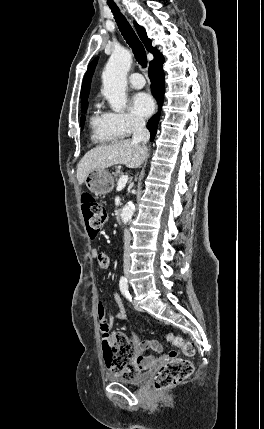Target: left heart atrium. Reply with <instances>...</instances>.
<instances>
[{
	"label": "left heart atrium",
	"mask_w": 264,
	"mask_h": 429,
	"mask_svg": "<svg viewBox=\"0 0 264 429\" xmlns=\"http://www.w3.org/2000/svg\"><path fill=\"white\" fill-rule=\"evenodd\" d=\"M131 110L139 118L148 117L154 110L151 96L145 92L136 93L131 100Z\"/></svg>",
	"instance_id": "left-heart-atrium-1"
}]
</instances>
